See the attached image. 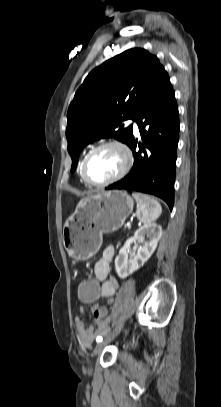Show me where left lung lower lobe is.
<instances>
[{
	"label": "left lung lower lobe",
	"instance_id": "0a47b994",
	"mask_svg": "<svg viewBox=\"0 0 221 407\" xmlns=\"http://www.w3.org/2000/svg\"><path fill=\"white\" fill-rule=\"evenodd\" d=\"M142 119L144 121H142ZM142 142L134 137L128 146L134 155V165L127 176L107 187L125 189L160 197L169 206L174 204L176 150L179 135V115L169 76H165L156 92L136 119Z\"/></svg>",
	"mask_w": 221,
	"mask_h": 407
}]
</instances>
